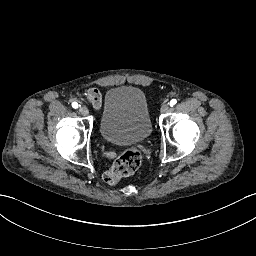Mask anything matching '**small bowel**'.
I'll return each mask as SVG.
<instances>
[{
  "mask_svg": "<svg viewBox=\"0 0 256 256\" xmlns=\"http://www.w3.org/2000/svg\"><path fill=\"white\" fill-rule=\"evenodd\" d=\"M84 97L96 109L101 107L102 97L101 93L96 88H89L85 91Z\"/></svg>",
  "mask_w": 256,
  "mask_h": 256,
  "instance_id": "obj_1",
  "label": "small bowel"
}]
</instances>
